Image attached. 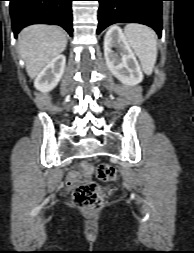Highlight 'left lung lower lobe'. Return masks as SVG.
I'll return each instance as SVG.
<instances>
[{
    "mask_svg": "<svg viewBox=\"0 0 194 253\" xmlns=\"http://www.w3.org/2000/svg\"><path fill=\"white\" fill-rule=\"evenodd\" d=\"M97 34L115 23H141L152 27L161 37V9L164 0H98Z\"/></svg>",
    "mask_w": 194,
    "mask_h": 253,
    "instance_id": "1",
    "label": "left lung lower lobe"
}]
</instances>
